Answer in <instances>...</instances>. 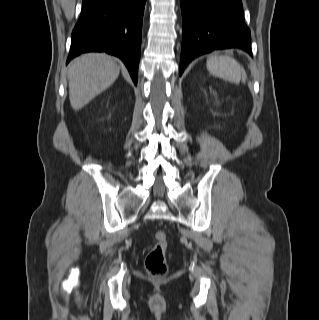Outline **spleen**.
Here are the masks:
<instances>
[{
	"label": "spleen",
	"instance_id": "spleen-1",
	"mask_svg": "<svg viewBox=\"0 0 319 320\" xmlns=\"http://www.w3.org/2000/svg\"><path fill=\"white\" fill-rule=\"evenodd\" d=\"M208 71L232 83L246 82V72L243 67L230 56H212L207 60Z\"/></svg>",
	"mask_w": 319,
	"mask_h": 320
}]
</instances>
